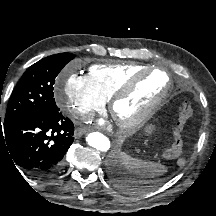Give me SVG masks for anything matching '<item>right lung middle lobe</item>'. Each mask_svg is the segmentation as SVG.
Listing matches in <instances>:
<instances>
[{"mask_svg": "<svg viewBox=\"0 0 216 216\" xmlns=\"http://www.w3.org/2000/svg\"><path fill=\"white\" fill-rule=\"evenodd\" d=\"M73 58V54L61 53L43 58L30 66L11 95L4 123L34 114L59 111L54 99L53 85L59 72Z\"/></svg>", "mask_w": 216, "mask_h": 216, "instance_id": "obj_1", "label": "right lung middle lobe"}]
</instances>
